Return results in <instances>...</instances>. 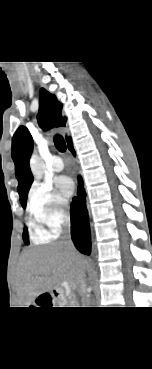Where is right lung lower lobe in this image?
<instances>
[{"label":"right lung lower lobe","mask_w":152,"mask_h":369,"mask_svg":"<svg viewBox=\"0 0 152 369\" xmlns=\"http://www.w3.org/2000/svg\"><path fill=\"white\" fill-rule=\"evenodd\" d=\"M68 148L75 155L71 140L68 142ZM85 196L82 180L79 178L78 194L77 197L73 198L71 204V235L75 247L81 253L89 255L91 253V236Z\"/></svg>","instance_id":"obj_1"}]
</instances>
